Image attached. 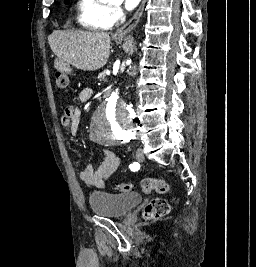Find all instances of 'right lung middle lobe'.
I'll use <instances>...</instances> for the list:
<instances>
[{"instance_id":"obj_1","label":"right lung middle lobe","mask_w":256,"mask_h":267,"mask_svg":"<svg viewBox=\"0 0 256 267\" xmlns=\"http://www.w3.org/2000/svg\"><path fill=\"white\" fill-rule=\"evenodd\" d=\"M69 2V0H66L65 3L67 4Z\"/></svg>"}]
</instances>
